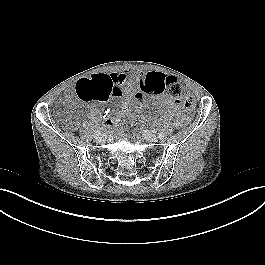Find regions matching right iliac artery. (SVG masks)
Returning <instances> with one entry per match:
<instances>
[{"instance_id": "82829eb1", "label": "right iliac artery", "mask_w": 265, "mask_h": 265, "mask_svg": "<svg viewBox=\"0 0 265 265\" xmlns=\"http://www.w3.org/2000/svg\"><path fill=\"white\" fill-rule=\"evenodd\" d=\"M101 133V128L97 129L94 133H93V137L96 138L97 136H99Z\"/></svg>"}]
</instances>
